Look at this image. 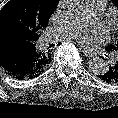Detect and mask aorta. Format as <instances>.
I'll return each instance as SVG.
<instances>
[{"instance_id": "aorta-1", "label": "aorta", "mask_w": 118, "mask_h": 118, "mask_svg": "<svg viewBox=\"0 0 118 118\" xmlns=\"http://www.w3.org/2000/svg\"><path fill=\"white\" fill-rule=\"evenodd\" d=\"M83 10L81 0H62L60 5V11L66 18H76ZM90 72L95 75H101L107 69V64L101 58H94L88 62Z\"/></svg>"}]
</instances>
